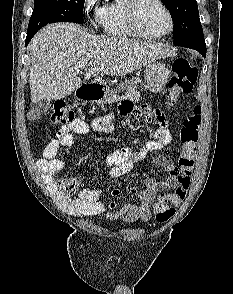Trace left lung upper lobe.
<instances>
[{"label": "left lung upper lobe", "instance_id": "left-lung-upper-lobe-1", "mask_svg": "<svg viewBox=\"0 0 233 294\" xmlns=\"http://www.w3.org/2000/svg\"><path fill=\"white\" fill-rule=\"evenodd\" d=\"M174 21V44L198 50L206 46L196 0H161Z\"/></svg>", "mask_w": 233, "mask_h": 294}]
</instances>
